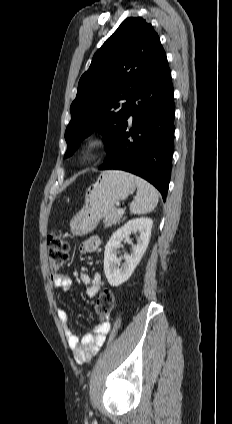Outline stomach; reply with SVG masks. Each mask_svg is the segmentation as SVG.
<instances>
[{
	"instance_id": "obj_1",
	"label": "stomach",
	"mask_w": 232,
	"mask_h": 424,
	"mask_svg": "<svg viewBox=\"0 0 232 424\" xmlns=\"http://www.w3.org/2000/svg\"><path fill=\"white\" fill-rule=\"evenodd\" d=\"M136 182L130 173L107 170L88 189L82 211L71 221L73 235H85L95 229L99 221L112 209L115 203L125 200L134 192Z\"/></svg>"
}]
</instances>
